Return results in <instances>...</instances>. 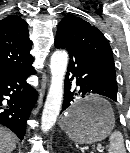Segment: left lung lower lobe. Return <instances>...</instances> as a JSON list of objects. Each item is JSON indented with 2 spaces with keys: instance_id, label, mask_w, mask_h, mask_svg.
Listing matches in <instances>:
<instances>
[{
  "instance_id": "0a47b994",
  "label": "left lung lower lobe",
  "mask_w": 130,
  "mask_h": 153,
  "mask_svg": "<svg viewBox=\"0 0 130 153\" xmlns=\"http://www.w3.org/2000/svg\"><path fill=\"white\" fill-rule=\"evenodd\" d=\"M55 47L66 49L70 55L62 111L68 108L74 96L79 94L81 96L99 94L117 101V85L101 65L87 55L80 54L63 39L55 38ZM73 80L80 86L78 93L70 91Z\"/></svg>"
}]
</instances>
